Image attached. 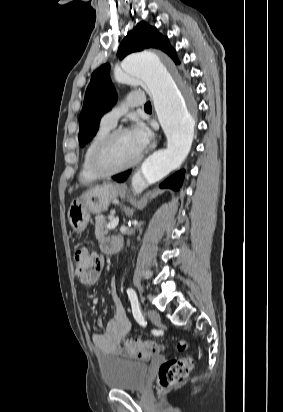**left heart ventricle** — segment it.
Segmentation results:
<instances>
[{
    "mask_svg": "<svg viewBox=\"0 0 283 412\" xmlns=\"http://www.w3.org/2000/svg\"><path fill=\"white\" fill-rule=\"evenodd\" d=\"M140 150L137 148L130 132L120 134L112 142L104 157L107 167L115 168L128 164L134 160Z\"/></svg>",
    "mask_w": 283,
    "mask_h": 412,
    "instance_id": "left-heart-ventricle-1",
    "label": "left heart ventricle"
}]
</instances>
